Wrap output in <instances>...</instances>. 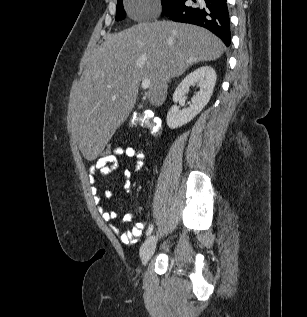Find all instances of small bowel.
I'll return each mask as SVG.
<instances>
[{
    "instance_id": "1",
    "label": "small bowel",
    "mask_w": 307,
    "mask_h": 317,
    "mask_svg": "<svg viewBox=\"0 0 307 317\" xmlns=\"http://www.w3.org/2000/svg\"><path fill=\"white\" fill-rule=\"evenodd\" d=\"M118 156H125L127 158L133 159L135 162V170L139 171L141 170L143 164H144V154L143 152L133 146H125V147H119L116 156L113 158H110L109 160H100L97 159L94 163L93 169L94 174H98L100 177H105L109 174H111L114 170L118 167ZM131 172L125 171L124 172V182L122 184V188L125 192L129 193L132 188L131 183ZM114 194L112 190H108L105 192L106 197H111ZM96 203H99L100 198L95 197ZM102 217L106 221L114 220L118 217V213L115 211H101ZM134 219V215L132 212H127L123 216V220L125 222H131ZM144 224L143 223H137L134 225V227L130 231L126 232H120L116 228H114L119 233L120 240L127 245H132L136 243L137 237L141 230L143 229Z\"/></svg>"
}]
</instances>
